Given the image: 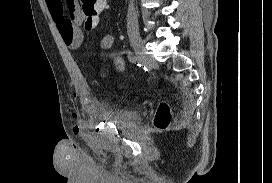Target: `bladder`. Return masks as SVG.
Here are the masks:
<instances>
[{"instance_id":"31cf9c89","label":"bladder","mask_w":272,"mask_h":183,"mask_svg":"<svg viewBox=\"0 0 272 183\" xmlns=\"http://www.w3.org/2000/svg\"><path fill=\"white\" fill-rule=\"evenodd\" d=\"M107 120L116 125L127 126L135 122L137 115L135 112L121 110L118 112H104L102 114Z\"/></svg>"}]
</instances>
